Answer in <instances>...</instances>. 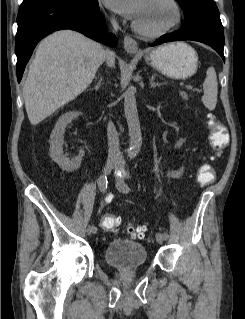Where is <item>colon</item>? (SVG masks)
<instances>
[{"label": "colon", "instance_id": "5ec220e1", "mask_svg": "<svg viewBox=\"0 0 245 319\" xmlns=\"http://www.w3.org/2000/svg\"><path fill=\"white\" fill-rule=\"evenodd\" d=\"M206 127L209 131V142L212 150L216 153H221L228 144V136L225 127L209 114L206 118ZM216 176L215 168L211 164L202 165L197 172V181L201 185L211 184ZM121 218L112 214L106 215L102 219V227L104 230L112 233H117L119 230ZM128 234L133 238H143L145 235L144 226H129Z\"/></svg>", "mask_w": 245, "mask_h": 319}]
</instances>
